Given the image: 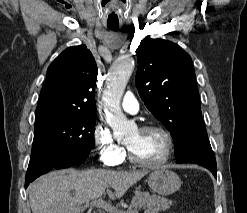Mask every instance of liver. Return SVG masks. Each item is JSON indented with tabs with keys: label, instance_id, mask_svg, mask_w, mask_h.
<instances>
[{
	"label": "liver",
	"instance_id": "6515ba94",
	"mask_svg": "<svg viewBox=\"0 0 247 213\" xmlns=\"http://www.w3.org/2000/svg\"><path fill=\"white\" fill-rule=\"evenodd\" d=\"M146 174L104 169L50 172L29 186L32 213H82V204L100 198L106 191L112 200L119 199Z\"/></svg>",
	"mask_w": 247,
	"mask_h": 213
}]
</instances>
